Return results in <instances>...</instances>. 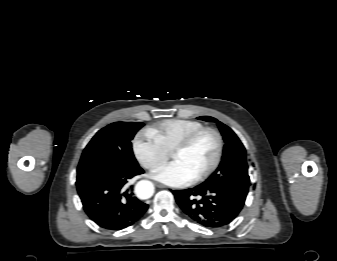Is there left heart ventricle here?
Listing matches in <instances>:
<instances>
[{"mask_svg": "<svg viewBox=\"0 0 337 261\" xmlns=\"http://www.w3.org/2000/svg\"><path fill=\"white\" fill-rule=\"evenodd\" d=\"M217 151V141L213 134L201 135L190 148L175 154L173 159L180 162L193 177L204 172L213 162Z\"/></svg>", "mask_w": 337, "mask_h": 261, "instance_id": "1", "label": "left heart ventricle"}]
</instances>
